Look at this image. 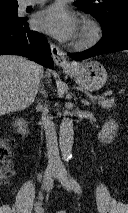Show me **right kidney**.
I'll list each match as a JSON object with an SVG mask.
<instances>
[{"mask_svg": "<svg viewBox=\"0 0 128 213\" xmlns=\"http://www.w3.org/2000/svg\"><path fill=\"white\" fill-rule=\"evenodd\" d=\"M14 127H16L17 132H19L22 135H25L28 133L27 131V124L23 119L17 118L15 122L13 123Z\"/></svg>", "mask_w": 128, "mask_h": 213, "instance_id": "right-kidney-1", "label": "right kidney"}]
</instances>
